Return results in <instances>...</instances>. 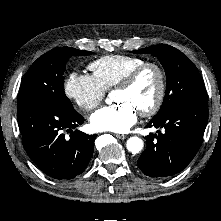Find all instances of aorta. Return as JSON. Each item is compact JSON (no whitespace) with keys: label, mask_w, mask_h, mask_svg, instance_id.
Returning <instances> with one entry per match:
<instances>
[{"label":"aorta","mask_w":221,"mask_h":221,"mask_svg":"<svg viewBox=\"0 0 221 221\" xmlns=\"http://www.w3.org/2000/svg\"><path fill=\"white\" fill-rule=\"evenodd\" d=\"M126 147L132 154H137L143 149V141L136 136L130 137L126 142Z\"/></svg>","instance_id":"aorta-1"}]
</instances>
